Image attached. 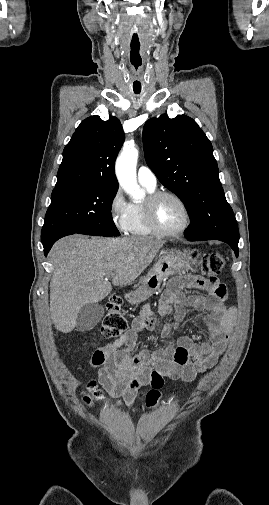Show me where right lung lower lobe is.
<instances>
[{"label":"right lung lower lobe","mask_w":269,"mask_h":505,"mask_svg":"<svg viewBox=\"0 0 269 505\" xmlns=\"http://www.w3.org/2000/svg\"><path fill=\"white\" fill-rule=\"evenodd\" d=\"M75 232H71V231H63V232H58V233H55L51 236H49L48 238H46L45 240H43V247H44V253H45V256H47V253L49 252V250L51 249L52 245L58 240L60 239L61 237H64V236H67V235H71V234H74Z\"/></svg>","instance_id":"obj_1"}]
</instances>
